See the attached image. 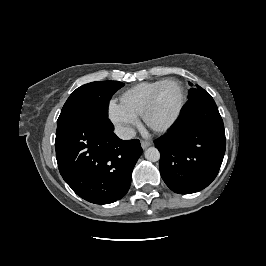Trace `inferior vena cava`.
<instances>
[{
	"instance_id": "obj_1",
	"label": "inferior vena cava",
	"mask_w": 266,
	"mask_h": 266,
	"mask_svg": "<svg viewBox=\"0 0 266 266\" xmlns=\"http://www.w3.org/2000/svg\"><path fill=\"white\" fill-rule=\"evenodd\" d=\"M115 134L123 140L133 139L136 135L135 130L128 126H117L115 128Z\"/></svg>"
}]
</instances>
